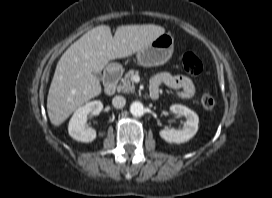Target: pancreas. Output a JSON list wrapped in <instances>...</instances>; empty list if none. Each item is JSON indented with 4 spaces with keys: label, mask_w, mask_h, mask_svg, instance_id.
Listing matches in <instances>:
<instances>
[{
    "label": "pancreas",
    "mask_w": 272,
    "mask_h": 198,
    "mask_svg": "<svg viewBox=\"0 0 272 198\" xmlns=\"http://www.w3.org/2000/svg\"><path fill=\"white\" fill-rule=\"evenodd\" d=\"M138 74H139L138 70H129L124 75V78H122L121 84L118 85L117 90L123 93H133L135 91L133 77Z\"/></svg>",
    "instance_id": "1"
}]
</instances>
